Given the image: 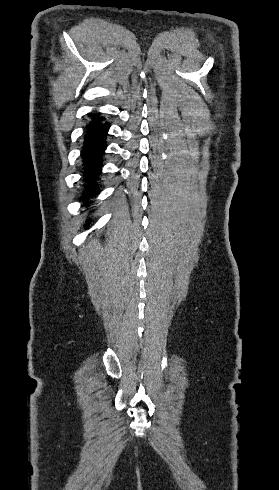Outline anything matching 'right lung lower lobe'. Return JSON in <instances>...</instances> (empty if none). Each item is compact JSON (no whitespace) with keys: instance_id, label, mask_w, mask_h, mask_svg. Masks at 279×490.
Listing matches in <instances>:
<instances>
[{"instance_id":"obj_1","label":"right lung lower lobe","mask_w":279,"mask_h":490,"mask_svg":"<svg viewBox=\"0 0 279 490\" xmlns=\"http://www.w3.org/2000/svg\"><path fill=\"white\" fill-rule=\"evenodd\" d=\"M109 129V123L99 128L86 132L82 147V166H83V184L79 200L83 202L88 214L86 216L84 227L88 228L92 220L89 215L93 212L92 199L99 193L98 186L99 176L101 175L102 156L107 147L105 142L106 133Z\"/></svg>"}]
</instances>
